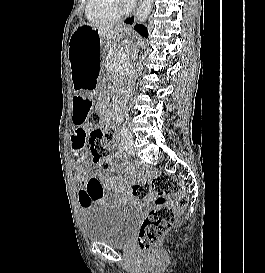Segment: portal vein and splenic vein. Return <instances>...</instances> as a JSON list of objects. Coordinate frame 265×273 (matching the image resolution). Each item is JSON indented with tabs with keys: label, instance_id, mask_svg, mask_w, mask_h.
Instances as JSON below:
<instances>
[{
	"label": "portal vein and splenic vein",
	"instance_id": "obj_1",
	"mask_svg": "<svg viewBox=\"0 0 265 273\" xmlns=\"http://www.w3.org/2000/svg\"><path fill=\"white\" fill-rule=\"evenodd\" d=\"M126 57H127V54H125V55L122 57V59H124V58H126ZM116 69H119V68L117 67Z\"/></svg>",
	"mask_w": 265,
	"mask_h": 273
}]
</instances>
